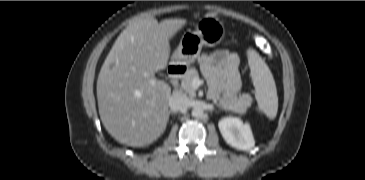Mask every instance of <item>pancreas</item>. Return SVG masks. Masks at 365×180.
Returning <instances> with one entry per match:
<instances>
[{
    "instance_id": "cf45deb5",
    "label": "pancreas",
    "mask_w": 365,
    "mask_h": 180,
    "mask_svg": "<svg viewBox=\"0 0 365 180\" xmlns=\"http://www.w3.org/2000/svg\"><path fill=\"white\" fill-rule=\"evenodd\" d=\"M195 78L199 79L198 71L195 68H191L185 73V76L182 79V88L191 96H195V90H193L192 88V81ZM250 103L251 99L249 98V96L243 94L240 96H233L229 99H226L222 101L220 105L224 109L232 110L238 113H244L249 107Z\"/></svg>"
}]
</instances>
